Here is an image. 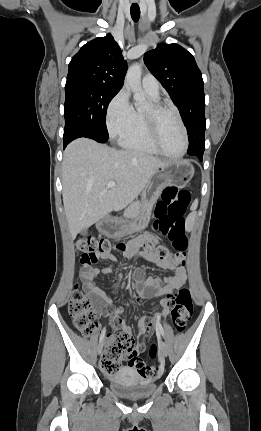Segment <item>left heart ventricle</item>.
I'll use <instances>...</instances> for the list:
<instances>
[{
    "instance_id": "b2bd125f",
    "label": "left heart ventricle",
    "mask_w": 261,
    "mask_h": 431,
    "mask_svg": "<svg viewBox=\"0 0 261 431\" xmlns=\"http://www.w3.org/2000/svg\"><path fill=\"white\" fill-rule=\"evenodd\" d=\"M150 107L146 110L148 111ZM159 141L170 155H178L184 148V137L177 118L172 112H164L158 117Z\"/></svg>"
}]
</instances>
